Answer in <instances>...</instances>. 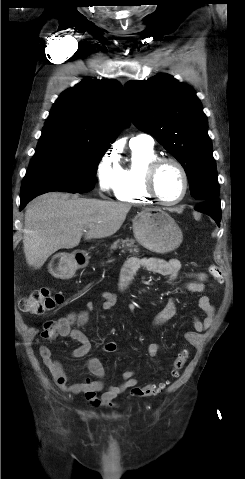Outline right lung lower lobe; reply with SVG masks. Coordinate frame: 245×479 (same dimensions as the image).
Returning <instances> with one entry per match:
<instances>
[{"mask_svg":"<svg viewBox=\"0 0 245 479\" xmlns=\"http://www.w3.org/2000/svg\"><path fill=\"white\" fill-rule=\"evenodd\" d=\"M51 191H63V190H59V189H44V188H41V189H32V190H28L26 192H23L21 193V196H20V210H22L26 204L32 200L34 197L40 195V194H43V193H47V192H51ZM63 192H66V191H63Z\"/></svg>","mask_w":245,"mask_h":479,"instance_id":"98d812e1","label":"right lung lower lobe"}]
</instances>
